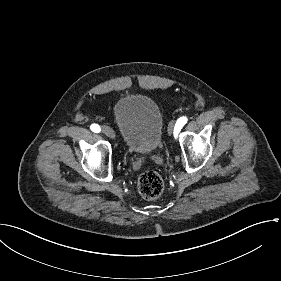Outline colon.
<instances>
[{
	"label": "colon",
	"instance_id": "colon-1",
	"mask_svg": "<svg viewBox=\"0 0 281 281\" xmlns=\"http://www.w3.org/2000/svg\"><path fill=\"white\" fill-rule=\"evenodd\" d=\"M137 187L145 198L155 199L161 195L165 184L158 172L148 170L139 177Z\"/></svg>",
	"mask_w": 281,
	"mask_h": 281
}]
</instances>
